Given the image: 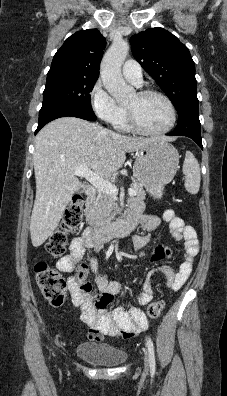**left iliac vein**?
I'll return each instance as SVG.
<instances>
[{"mask_svg": "<svg viewBox=\"0 0 227 396\" xmlns=\"http://www.w3.org/2000/svg\"><path fill=\"white\" fill-rule=\"evenodd\" d=\"M148 365H149V354L148 351L145 350V369H148Z\"/></svg>", "mask_w": 227, "mask_h": 396, "instance_id": "1", "label": "left iliac vein"}]
</instances>
